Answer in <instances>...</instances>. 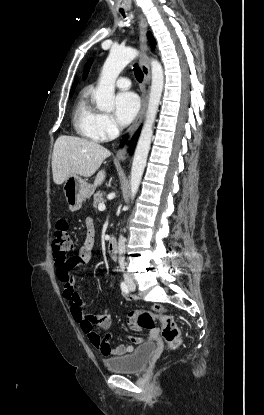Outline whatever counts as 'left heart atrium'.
Returning a JSON list of instances; mask_svg holds the SVG:
<instances>
[{
    "instance_id": "obj_1",
    "label": "left heart atrium",
    "mask_w": 264,
    "mask_h": 415,
    "mask_svg": "<svg viewBox=\"0 0 264 415\" xmlns=\"http://www.w3.org/2000/svg\"><path fill=\"white\" fill-rule=\"evenodd\" d=\"M139 110L138 97L132 92H121L115 98V117L121 125L129 124Z\"/></svg>"
}]
</instances>
